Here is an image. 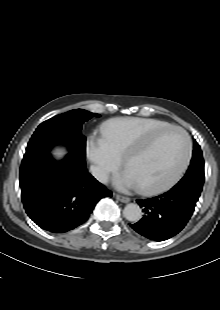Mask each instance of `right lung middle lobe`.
<instances>
[{
  "mask_svg": "<svg viewBox=\"0 0 220 310\" xmlns=\"http://www.w3.org/2000/svg\"><path fill=\"white\" fill-rule=\"evenodd\" d=\"M94 116L99 115L77 109L41 123L32 135L24 157L49 151L57 143L66 144L70 149L85 155L86 137L80 131L82 124Z\"/></svg>",
  "mask_w": 220,
  "mask_h": 310,
  "instance_id": "obj_1",
  "label": "right lung middle lobe"
}]
</instances>
